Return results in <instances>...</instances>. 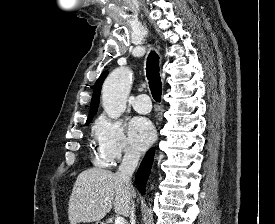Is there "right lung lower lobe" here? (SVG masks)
I'll return each mask as SVG.
<instances>
[{
  "mask_svg": "<svg viewBox=\"0 0 275 224\" xmlns=\"http://www.w3.org/2000/svg\"><path fill=\"white\" fill-rule=\"evenodd\" d=\"M153 158H154V151L153 149H150L148 153L145 155L136 173V176H135L136 186L141 192L145 191V185L150 174Z\"/></svg>",
  "mask_w": 275,
  "mask_h": 224,
  "instance_id": "right-lung-lower-lobe-1",
  "label": "right lung lower lobe"
}]
</instances>
